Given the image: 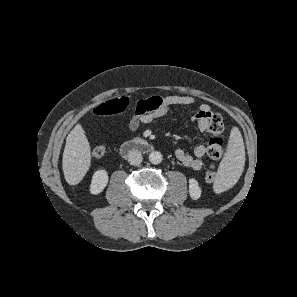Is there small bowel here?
Listing matches in <instances>:
<instances>
[{
	"instance_id": "1",
	"label": "small bowel",
	"mask_w": 297,
	"mask_h": 297,
	"mask_svg": "<svg viewBox=\"0 0 297 297\" xmlns=\"http://www.w3.org/2000/svg\"><path fill=\"white\" fill-rule=\"evenodd\" d=\"M150 102V108L141 115L135 114L130 121V128L132 130L137 129L140 124L151 123L162 116H164L171 108L175 106H193L195 105V99L192 96H177L171 95L166 97H151L147 99ZM212 111L207 104H201L196 114L191 118V121L196 123L198 129L201 132L208 131L209 117ZM206 154V147L204 145H198L195 147L193 154H189L183 149H177L175 151L176 158L181 164L187 168L195 171H199L203 167L202 158ZM210 167L215 168L214 164Z\"/></svg>"
}]
</instances>
